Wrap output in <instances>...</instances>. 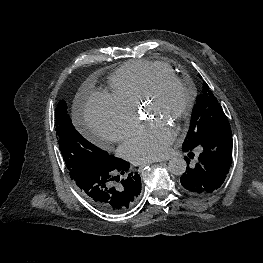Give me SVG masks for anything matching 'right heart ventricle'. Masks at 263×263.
<instances>
[{
	"label": "right heart ventricle",
	"mask_w": 263,
	"mask_h": 263,
	"mask_svg": "<svg viewBox=\"0 0 263 263\" xmlns=\"http://www.w3.org/2000/svg\"><path fill=\"white\" fill-rule=\"evenodd\" d=\"M175 74L162 62L131 60L121 65L109 77L111 95L120 103L136 110L151 84L162 75Z\"/></svg>",
	"instance_id": "1"
}]
</instances>
